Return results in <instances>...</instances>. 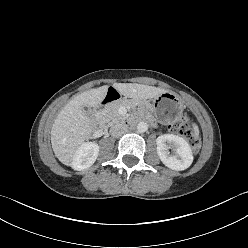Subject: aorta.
<instances>
[{
	"label": "aorta",
	"instance_id": "obj_1",
	"mask_svg": "<svg viewBox=\"0 0 248 248\" xmlns=\"http://www.w3.org/2000/svg\"><path fill=\"white\" fill-rule=\"evenodd\" d=\"M137 130L140 133L146 132L148 130V124L146 122H143V121L139 122L137 124Z\"/></svg>",
	"mask_w": 248,
	"mask_h": 248
}]
</instances>
